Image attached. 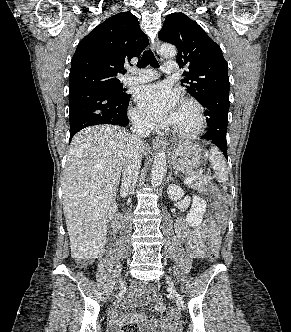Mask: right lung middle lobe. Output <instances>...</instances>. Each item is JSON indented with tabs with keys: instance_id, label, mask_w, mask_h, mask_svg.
I'll list each match as a JSON object with an SVG mask.
<instances>
[{
	"instance_id": "obj_1",
	"label": "right lung middle lobe",
	"mask_w": 291,
	"mask_h": 332,
	"mask_svg": "<svg viewBox=\"0 0 291 332\" xmlns=\"http://www.w3.org/2000/svg\"><path fill=\"white\" fill-rule=\"evenodd\" d=\"M91 86L103 87L117 99H125L127 97L126 90L122 88L120 82L97 81Z\"/></svg>"
}]
</instances>
